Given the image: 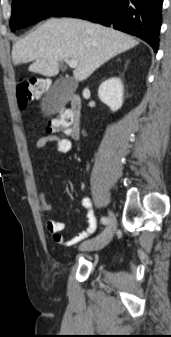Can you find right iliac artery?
Instances as JSON below:
<instances>
[{
  "label": "right iliac artery",
  "mask_w": 171,
  "mask_h": 337,
  "mask_svg": "<svg viewBox=\"0 0 171 337\" xmlns=\"http://www.w3.org/2000/svg\"><path fill=\"white\" fill-rule=\"evenodd\" d=\"M101 222H102L104 225H106V224H108L109 220H108L107 217H102V218H101Z\"/></svg>",
  "instance_id": "obj_1"
}]
</instances>
